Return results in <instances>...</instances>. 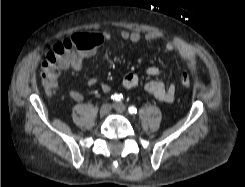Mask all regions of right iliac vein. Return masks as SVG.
<instances>
[{
  "label": "right iliac vein",
  "mask_w": 245,
  "mask_h": 187,
  "mask_svg": "<svg viewBox=\"0 0 245 187\" xmlns=\"http://www.w3.org/2000/svg\"><path fill=\"white\" fill-rule=\"evenodd\" d=\"M111 110V105L110 104H104L102 105V107L100 108V115H107Z\"/></svg>",
  "instance_id": "obj_1"
}]
</instances>
